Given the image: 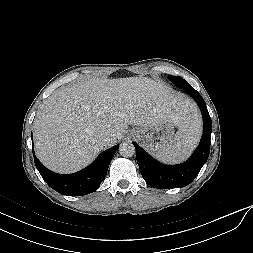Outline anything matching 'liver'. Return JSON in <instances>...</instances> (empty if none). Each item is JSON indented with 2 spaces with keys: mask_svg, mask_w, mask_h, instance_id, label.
I'll return each instance as SVG.
<instances>
[{
  "mask_svg": "<svg viewBox=\"0 0 253 253\" xmlns=\"http://www.w3.org/2000/svg\"><path fill=\"white\" fill-rule=\"evenodd\" d=\"M191 109L187 100L147 77L83 80L57 89L41 105L34 122L35 152L49 169L75 172L117 143L128 125L168 120L180 126ZM101 132L111 134L106 144Z\"/></svg>",
  "mask_w": 253,
  "mask_h": 253,
  "instance_id": "obj_1",
  "label": "liver"
}]
</instances>
